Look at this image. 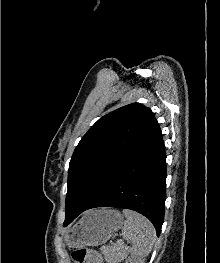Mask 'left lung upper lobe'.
<instances>
[{"mask_svg":"<svg viewBox=\"0 0 220 263\" xmlns=\"http://www.w3.org/2000/svg\"><path fill=\"white\" fill-rule=\"evenodd\" d=\"M160 132L153 112L140 103L100 118L71 158L66 212L85 210Z\"/></svg>","mask_w":220,"mask_h":263,"instance_id":"1","label":"left lung upper lobe"}]
</instances>
